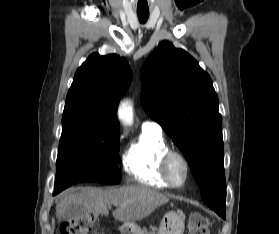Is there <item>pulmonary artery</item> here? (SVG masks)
I'll return each instance as SVG.
<instances>
[{
  "label": "pulmonary artery",
  "instance_id": "obj_1",
  "mask_svg": "<svg viewBox=\"0 0 279 234\" xmlns=\"http://www.w3.org/2000/svg\"><path fill=\"white\" fill-rule=\"evenodd\" d=\"M161 126L155 122V121H151V120H147L142 124V130H148V131H154V132H161Z\"/></svg>",
  "mask_w": 279,
  "mask_h": 234
}]
</instances>
